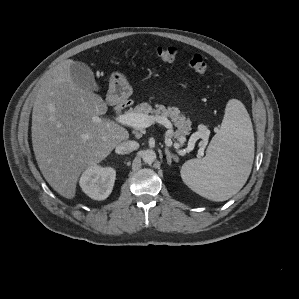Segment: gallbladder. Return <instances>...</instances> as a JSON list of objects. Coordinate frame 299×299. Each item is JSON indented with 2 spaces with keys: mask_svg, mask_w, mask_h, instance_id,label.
<instances>
[{
  "mask_svg": "<svg viewBox=\"0 0 299 299\" xmlns=\"http://www.w3.org/2000/svg\"><path fill=\"white\" fill-rule=\"evenodd\" d=\"M70 76L73 82L80 88L98 92L100 86L95 80L94 74L90 67L79 61H74L70 66Z\"/></svg>",
  "mask_w": 299,
  "mask_h": 299,
  "instance_id": "bac80fb5",
  "label": "gallbladder"
}]
</instances>
